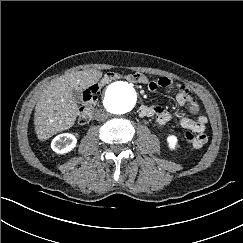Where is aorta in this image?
<instances>
[{
  "instance_id": "aorta-1",
  "label": "aorta",
  "mask_w": 243,
  "mask_h": 243,
  "mask_svg": "<svg viewBox=\"0 0 243 243\" xmlns=\"http://www.w3.org/2000/svg\"><path fill=\"white\" fill-rule=\"evenodd\" d=\"M135 101V90L130 84L114 82L106 89L103 104L109 112L121 115L129 112Z\"/></svg>"
}]
</instances>
